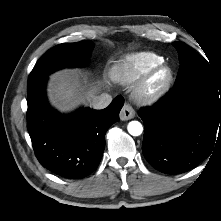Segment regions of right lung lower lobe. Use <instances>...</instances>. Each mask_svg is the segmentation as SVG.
Here are the masks:
<instances>
[{"mask_svg":"<svg viewBox=\"0 0 221 221\" xmlns=\"http://www.w3.org/2000/svg\"><path fill=\"white\" fill-rule=\"evenodd\" d=\"M46 81L27 90V129L36 157L44 168L62 178H84L98 167L106 131L119 120L124 99L117 96L103 110L61 115L48 104Z\"/></svg>","mask_w":221,"mask_h":221,"instance_id":"1","label":"right lung lower lobe"}]
</instances>
